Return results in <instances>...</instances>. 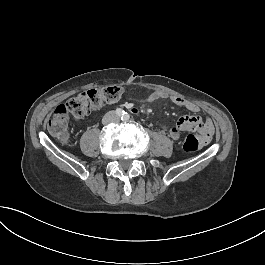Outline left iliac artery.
I'll return each mask as SVG.
<instances>
[{"instance_id": "44dca946", "label": "left iliac artery", "mask_w": 265, "mask_h": 265, "mask_svg": "<svg viewBox=\"0 0 265 265\" xmlns=\"http://www.w3.org/2000/svg\"><path fill=\"white\" fill-rule=\"evenodd\" d=\"M130 118V115L128 113H125L124 116L122 117L123 121H128Z\"/></svg>"}]
</instances>
